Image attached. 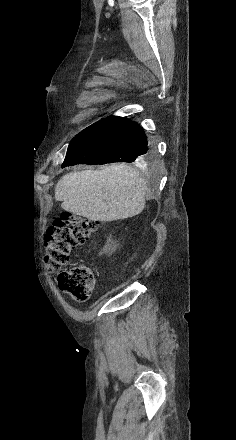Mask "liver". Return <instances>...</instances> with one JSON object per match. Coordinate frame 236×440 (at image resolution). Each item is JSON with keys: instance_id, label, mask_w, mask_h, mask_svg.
Segmentation results:
<instances>
[{"instance_id": "obj_1", "label": "liver", "mask_w": 236, "mask_h": 440, "mask_svg": "<svg viewBox=\"0 0 236 440\" xmlns=\"http://www.w3.org/2000/svg\"><path fill=\"white\" fill-rule=\"evenodd\" d=\"M145 194L143 177L126 164L71 172L55 187V199L62 202L63 210L102 222L140 214L145 207Z\"/></svg>"}]
</instances>
